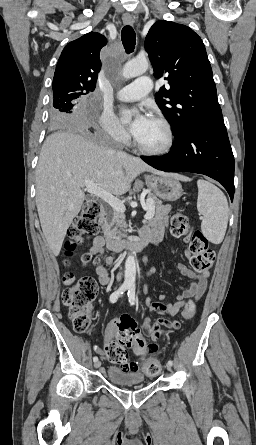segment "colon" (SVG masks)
<instances>
[{"label": "colon", "instance_id": "colon-1", "mask_svg": "<svg viewBox=\"0 0 256 445\" xmlns=\"http://www.w3.org/2000/svg\"><path fill=\"white\" fill-rule=\"evenodd\" d=\"M100 205L91 202L85 205L80 215L75 219L69 230V238L65 243V253L69 256L78 246L82 245L88 237L99 231L98 219ZM171 232L174 236H190L189 250L192 255L191 265L197 272H208L215 261V253L209 247L208 241L201 231L193 229L189 218L183 213H176L170 220ZM84 262L92 260V256H85ZM95 261V260H94ZM65 289L62 293V302L68 310L72 325L77 332H84L89 328V307L97 294V283L94 278L82 276L78 279L72 273L63 277ZM195 315V305L190 302L182 312L185 319ZM126 347L132 348L136 353L143 354L146 341L142 337V329L134 318L122 315L117 323V340L105 345L107 358L117 364L127 360ZM161 364L157 360L147 361L143 370L148 376H155L160 372Z\"/></svg>", "mask_w": 256, "mask_h": 445}]
</instances>
